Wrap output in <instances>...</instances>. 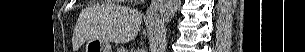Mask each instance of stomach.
<instances>
[{
    "label": "stomach",
    "mask_w": 305,
    "mask_h": 52,
    "mask_svg": "<svg viewBox=\"0 0 305 52\" xmlns=\"http://www.w3.org/2000/svg\"><path fill=\"white\" fill-rule=\"evenodd\" d=\"M84 52H112L109 41L90 38L86 41Z\"/></svg>",
    "instance_id": "0dacf381"
}]
</instances>
